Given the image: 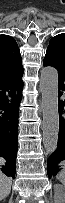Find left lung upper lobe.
<instances>
[{"label": "left lung upper lobe", "mask_w": 65, "mask_h": 203, "mask_svg": "<svg viewBox=\"0 0 65 203\" xmlns=\"http://www.w3.org/2000/svg\"><path fill=\"white\" fill-rule=\"evenodd\" d=\"M47 51H53L61 57L65 63V34H59L50 40Z\"/></svg>", "instance_id": "5c2ea615"}]
</instances>
